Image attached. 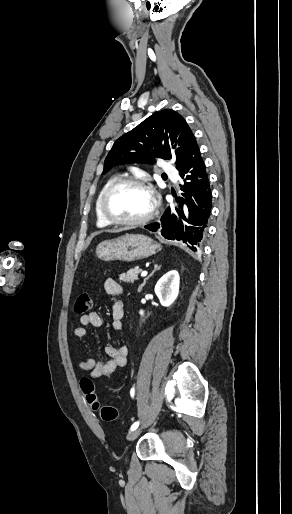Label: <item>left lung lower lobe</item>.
Wrapping results in <instances>:
<instances>
[{"label":"left lung lower lobe","mask_w":292,"mask_h":514,"mask_svg":"<svg viewBox=\"0 0 292 514\" xmlns=\"http://www.w3.org/2000/svg\"><path fill=\"white\" fill-rule=\"evenodd\" d=\"M184 180L181 196L168 206L160 221L145 226L171 240H182L197 251L204 241L212 210V191L196 139L191 143L183 165L178 169Z\"/></svg>","instance_id":"left-lung-lower-lobe-1"}]
</instances>
